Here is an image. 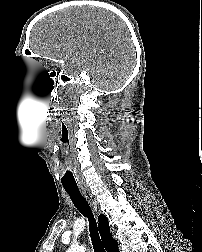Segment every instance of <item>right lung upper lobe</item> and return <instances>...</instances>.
I'll return each mask as SVG.
<instances>
[{
    "instance_id": "cb5924a9",
    "label": "right lung upper lobe",
    "mask_w": 202,
    "mask_h": 252,
    "mask_svg": "<svg viewBox=\"0 0 202 252\" xmlns=\"http://www.w3.org/2000/svg\"><path fill=\"white\" fill-rule=\"evenodd\" d=\"M99 232L102 238L104 247L108 252H119L118 242L112 238L108 219L104 215L98 217Z\"/></svg>"
}]
</instances>
